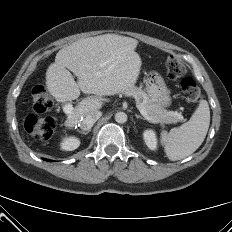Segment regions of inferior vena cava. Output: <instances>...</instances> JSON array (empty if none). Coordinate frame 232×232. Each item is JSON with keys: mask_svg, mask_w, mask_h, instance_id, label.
I'll use <instances>...</instances> for the list:
<instances>
[{"mask_svg": "<svg viewBox=\"0 0 232 232\" xmlns=\"http://www.w3.org/2000/svg\"><path fill=\"white\" fill-rule=\"evenodd\" d=\"M102 116L100 111H92L81 118L79 126L82 130H89L94 123Z\"/></svg>", "mask_w": 232, "mask_h": 232, "instance_id": "obj_1", "label": "inferior vena cava"}]
</instances>
